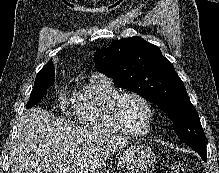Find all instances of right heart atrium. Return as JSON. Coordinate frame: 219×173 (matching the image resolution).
Returning <instances> with one entry per match:
<instances>
[{
  "mask_svg": "<svg viewBox=\"0 0 219 173\" xmlns=\"http://www.w3.org/2000/svg\"><path fill=\"white\" fill-rule=\"evenodd\" d=\"M59 100H60L61 103H63L64 100H65V94H64L63 90H61L59 92Z\"/></svg>",
  "mask_w": 219,
  "mask_h": 173,
  "instance_id": "1",
  "label": "right heart atrium"
}]
</instances>
